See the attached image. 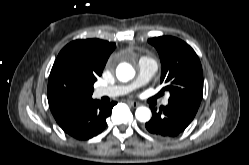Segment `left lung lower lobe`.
<instances>
[{"instance_id":"left-lung-lower-lobe-1","label":"left lung lower lobe","mask_w":249,"mask_h":165,"mask_svg":"<svg viewBox=\"0 0 249 165\" xmlns=\"http://www.w3.org/2000/svg\"><path fill=\"white\" fill-rule=\"evenodd\" d=\"M152 118L145 124L153 135L163 138L175 137L183 132L196 115V110L187 106L169 102L159 110L150 107Z\"/></svg>"}]
</instances>
